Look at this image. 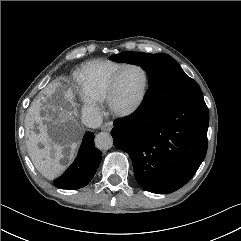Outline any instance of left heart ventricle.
<instances>
[{
	"mask_svg": "<svg viewBox=\"0 0 241 241\" xmlns=\"http://www.w3.org/2000/svg\"><path fill=\"white\" fill-rule=\"evenodd\" d=\"M144 81V73L139 68L125 69L117 81L114 104L119 108L131 105L140 95Z\"/></svg>",
	"mask_w": 241,
	"mask_h": 241,
	"instance_id": "b2bd125f",
	"label": "left heart ventricle"
}]
</instances>
